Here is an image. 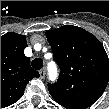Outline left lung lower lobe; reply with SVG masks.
<instances>
[{"label": "left lung lower lobe", "instance_id": "1", "mask_svg": "<svg viewBox=\"0 0 109 109\" xmlns=\"http://www.w3.org/2000/svg\"><path fill=\"white\" fill-rule=\"evenodd\" d=\"M50 94L52 95V97L54 98V100L56 102H58L60 105L66 107V108H69V109H84V108H86L85 105L78 103L76 101H73V100H70L68 98L59 96L55 93H50Z\"/></svg>", "mask_w": 109, "mask_h": 109}]
</instances>
